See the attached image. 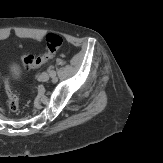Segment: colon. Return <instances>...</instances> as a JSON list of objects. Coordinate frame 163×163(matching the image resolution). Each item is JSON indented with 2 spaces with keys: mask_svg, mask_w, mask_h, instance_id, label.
Listing matches in <instances>:
<instances>
[{
  "mask_svg": "<svg viewBox=\"0 0 163 163\" xmlns=\"http://www.w3.org/2000/svg\"><path fill=\"white\" fill-rule=\"evenodd\" d=\"M63 39L58 34H49L45 39L46 51L39 56L27 54L22 57V64L26 69H34L47 62L62 47ZM6 94L10 111L16 112L19 109V95L15 87L6 80Z\"/></svg>",
  "mask_w": 163,
  "mask_h": 163,
  "instance_id": "5ec220e1",
  "label": "colon"
}]
</instances>
